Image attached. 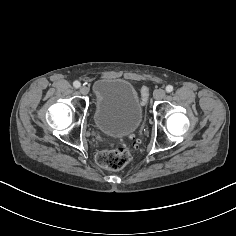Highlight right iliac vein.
<instances>
[{"label": "right iliac vein", "instance_id": "63e3f726", "mask_svg": "<svg viewBox=\"0 0 236 236\" xmlns=\"http://www.w3.org/2000/svg\"><path fill=\"white\" fill-rule=\"evenodd\" d=\"M79 92H80L82 95H87L88 92H89V89H88L86 86H81L80 89H79Z\"/></svg>", "mask_w": 236, "mask_h": 236}]
</instances>
